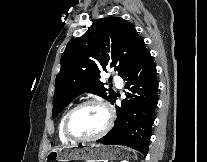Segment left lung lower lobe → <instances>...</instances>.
I'll use <instances>...</instances> for the list:
<instances>
[{
  "label": "left lung lower lobe",
  "instance_id": "left-lung-lower-lobe-1",
  "mask_svg": "<svg viewBox=\"0 0 207 162\" xmlns=\"http://www.w3.org/2000/svg\"><path fill=\"white\" fill-rule=\"evenodd\" d=\"M125 81L127 99L116 106L117 120L111 131L97 142L131 147L145 156L151 137L158 103L156 66L147 50L121 76ZM116 97L112 104H114Z\"/></svg>",
  "mask_w": 207,
  "mask_h": 162
}]
</instances>
